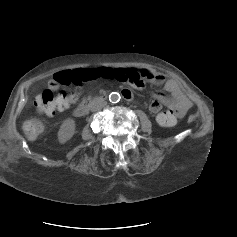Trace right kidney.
Instances as JSON below:
<instances>
[{"instance_id":"obj_1","label":"right kidney","mask_w":237,"mask_h":237,"mask_svg":"<svg viewBox=\"0 0 237 237\" xmlns=\"http://www.w3.org/2000/svg\"><path fill=\"white\" fill-rule=\"evenodd\" d=\"M75 134V121L66 119L58 131V141L60 144H65Z\"/></svg>"}]
</instances>
